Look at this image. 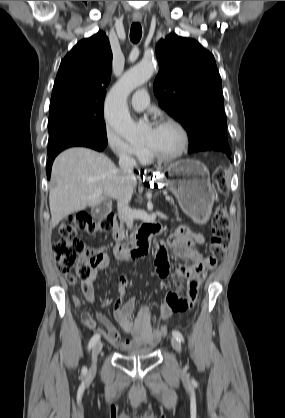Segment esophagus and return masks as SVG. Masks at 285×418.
Here are the masks:
<instances>
[{
	"label": "esophagus",
	"mask_w": 285,
	"mask_h": 418,
	"mask_svg": "<svg viewBox=\"0 0 285 418\" xmlns=\"http://www.w3.org/2000/svg\"><path fill=\"white\" fill-rule=\"evenodd\" d=\"M133 20L135 22H140L142 20V15H140V14H134L133 15Z\"/></svg>",
	"instance_id": "obj_1"
}]
</instances>
